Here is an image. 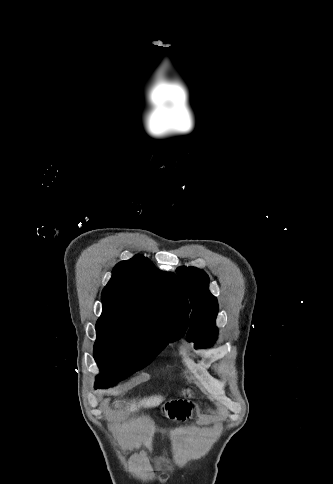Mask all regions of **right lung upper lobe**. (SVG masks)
I'll use <instances>...</instances> for the list:
<instances>
[{"label":"right lung upper lobe","mask_w":333,"mask_h":484,"mask_svg":"<svg viewBox=\"0 0 333 484\" xmlns=\"http://www.w3.org/2000/svg\"><path fill=\"white\" fill-rule=\"evenodd\" d=\"M102 304L100 318L134 321L153 331L176 327L182 334L188 326L190 308L182 284L141 255L114 267Z\"/></svg>","instance_id":"1"}]
</instances>
